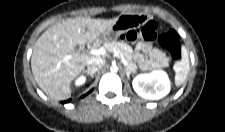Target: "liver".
<instances>
[{
    "label": "liver",
    "mask_w": 225,
    "mask_h": 132,
    "mask_svg": "<svg viewBox=\"0 0 225 132\" xmlns=\"http://www.w3.org/2000/svg\"><path fill=\"white\" fill-rule=\"evenodd\" d=\"M118 19L78 17L47 29L37 39L31 57L32 73L41 90L52 99H68L71 82L84 70L88 60L94 58L81 53L76 46L98 40Z\"/></svg>",
    "instance_id": "liver-1"
}]
</instances>
